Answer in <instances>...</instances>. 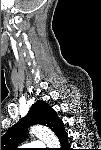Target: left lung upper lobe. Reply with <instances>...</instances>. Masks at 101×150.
I'll list each match as a JSON object with an SVG mask.
<instances>
[{"label":"left lung upper lobe","instance_id":"1","mask_svg":"<svg viewBox=\"0 0 101 150\" xmlns=\"http://www.w3.org/2000/svg\"><path fill=\"white\" fill-rule=\"evenodd\" d=\"M41 124L49 127L57 137L64 132L63 122L55 111L44 101H37L28 114L14 124L1 138V146L4 150H14L27 135L26 127L33 124Z\"/></svg>","mask_w":101,"mask_h":150}]
</instances>
